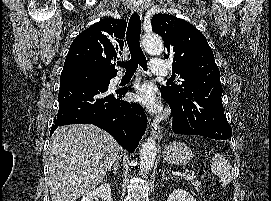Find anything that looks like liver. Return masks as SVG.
<instances>
[{"label":"liver","mask_w":271,"mask_h":201,"mask_svg":"<svg viewBox=\"0 0 271 201\" xmlns=\"http://www.w3.org/2000/svg\"><path fill=\"white\" fill-rule=\"evenodd\" d=\"M48 150L52 201H75L103 180L118 159L120 145L97 126L74 124L58 127Z\"/></svg>","instance_id":"liver-1"}]
</instances>
